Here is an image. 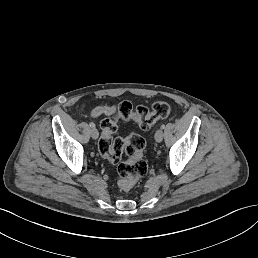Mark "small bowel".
<instances>
[{
    "label": "small bowel",
    "instance_id": "1",
    "mask_svg": "<svg viewBox=\"0 0 258 258\" xmlns=\"http://www.w3.org/2000/svg\"><path fill=\"white\" fill-rule=\"evenodd\" d=\"M117 113L116 106H97L91 111L92 117H99L101 115H113Z\"/></svg>",
    "mask_w": 258,
    "mask_h": 258
}]
</instances>
